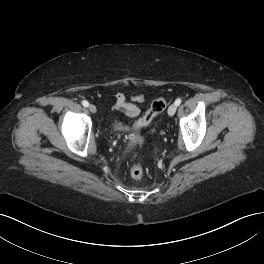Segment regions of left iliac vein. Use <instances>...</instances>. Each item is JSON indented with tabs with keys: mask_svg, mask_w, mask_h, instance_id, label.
Segmentation results:
<instances>
[{
	"mask_svg": "<svg viewBox=\"0 0 264 264\" xmlns=\"http://www.w3.org/2000/svg\"><path fill=\"white\" fill-rule=\"evenodd\" d=\"M177 110V106L175 104H171L168 108V115L173 116Z\"/></svg>",
	"mask_w": 264,
	"mask_h": 264,
	"instance_id": "4c4485c4",
	"label": "left iliac vein"
}]
</instances>
